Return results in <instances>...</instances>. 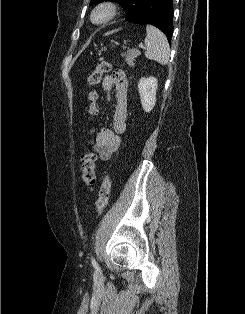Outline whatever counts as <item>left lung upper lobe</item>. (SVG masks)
Wrapping results in <instances>:
<instances>
[{
  "label": "left lung upper lobe",
  "mask_w": 245,
  "mask_h": 314,
  "mask_svg": "<svg viewBox=\"0 0 245 314\" xmlns=\"http://www.w3.org/2000/svg\"><path fill=\"white\" fill-rule=\"evenodd\" d=\"M103 1H113L119 3L123 9L126 11V20L135 15L140 9L144 0H91L90 5L95 3H101Z\"/></svg>",
  "instance_id": "obj_1"
}]
</instances>
